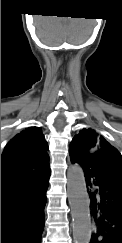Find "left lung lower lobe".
<instances>
[{
	"mask_svg": "<svg viewBox=\"0 0 122 243\" xmlns=\"http://www.w3.org/2000/svg\"><path fill=\"white\" fill-rule=\"evenodd\" d=\"M79 163L89 193L90 243H122V156L103 151Z\"/></svg>",
	"mask_w": 122,
	"mask_h": 243,
	"instance_id": "left-lung-lower-lobe-1",
	"label": "left lung lower lobe"
}]
</instances>
